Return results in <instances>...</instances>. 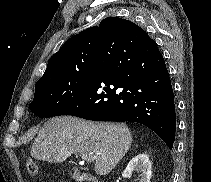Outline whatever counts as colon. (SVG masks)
Wrapping results in <instances>:
<instances>
[{"label": "colon", "instance_id": "obj_1", "mask_svg": "<svg viewBox=\"0 0 211 182\" xmlns=\"http://www.w3.org/2000/svg\"><path fill=\"white\" fill-rule=\"evenodd\" d=\"M27 170L30 174L36 175L39 171L38 164L33 159L27 160Z\"/></svg>", "mask_w": 211, "mask_h": 182}]
</instances>
